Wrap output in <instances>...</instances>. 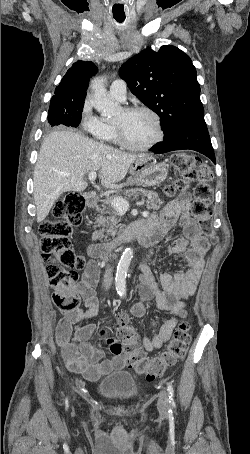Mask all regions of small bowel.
<instances>
[{
    "mask_svg": "<svg viewBox=\"0 0 250 454\" xmlns=\"http://www.w3.org/2000/svg\"><path fill=\"white\" fill-rule=\"evenodd\" d=\"M177 222L180 223L183 236L174 239L168 251L172 255L181 256L186 269L175 275L163 273L158 282L150 267L142 265L141 302L136 303L131 310L135 317H142L146 312V303L154 298L159 310L171 314L155 336L143 338V347L148 352L161 348L169 340L178 318L185 312L181 298H188L197 288L208 243L190 216V195L187 193L180 194L164 208L160 221L151 218L137 226L143 242H158L171 233ZM99 276V265L90 261L76 286V292L83 299L86 309L65 313L59 320L55 333L56 344L67 369L90 381L125 366V359L120 355L105 359L99 340L95 344L89 342L97 330L96 325H77L98 313L99 301L95 287Z\"/></svg>",
    "mask_w": 250,
    "mask_h": 454,
    "instance_id": "c3829d8e",
    "label": "small bowel"
}]
</instances>
